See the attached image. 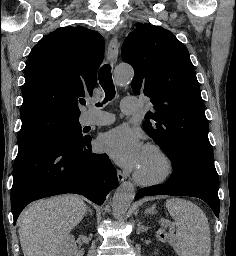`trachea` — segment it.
<instances>
[{"label":"trachea","instance_id":"trachea-1","mask_svg":"<svg viewBox=\"0 0 236 256\" xmlns=\"http://www.w3.org/2000/svg\"><path fill=\"white\" fill-rule=\"evenodd\" d=\"M99 83L105 92V102L112 100L115 97V87L112 80L111 67L109 64L103 65L99 70ZM85 105V101L81 102ZM98 106H101L98 103Z\"/></svg>","mask_w":236,"mask_h":256}]
</instances>
